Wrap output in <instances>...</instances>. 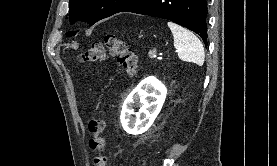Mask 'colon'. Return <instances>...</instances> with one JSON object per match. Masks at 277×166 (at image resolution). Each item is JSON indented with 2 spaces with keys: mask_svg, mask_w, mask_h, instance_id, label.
<instances>
[{
  "mask_svg": "<svg viewBox=\"0 0 277 166\" xmlns=\"http://www.w3.org/2000/svg\"><path fill=\"white\" fill-rule=\"evenodd\" d=\"M107 56L115 58L127 74L136 73L138 67L136 54L125 41L116 35H106L102 41L93 43L80 54V61L98 63ZM104 128L105 123L100 117H93L89 122V131L92 135L89 146L96 152L94 166H107V157L104 154L105 140L102 136Z\"/></svg>",
  "mask_w": 277,
  "mask_h": 166,
  "instance_id": "obj_1",
  "label": "colon"
}]
</instances>
